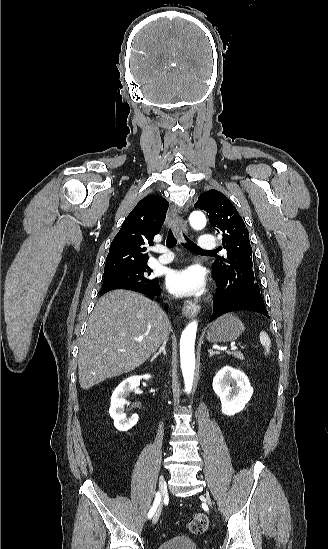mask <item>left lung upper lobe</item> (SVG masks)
Listing matches in <instances>:
<instances>
[{
  "label": "left lung upper lobe",
  "instance_id": "obj_1",
  "mask_svg": "<svg viewBox=\"0 0 328 549\" xmlns=\"http://www.w3.org/2000/svg\"><path fill=\"white\" fill-rule=\"evenodd\" d=\"M194 206L208 213L210 224L222 235L223 248L227 250V257H220L213 264L216 280L227 288L252 292L261 300L253 272L249 233L236 208L217 190L201 194Z\"/></svg>",
  "mask_w": 328,
  "mask_h": 549
}]
</instances>
